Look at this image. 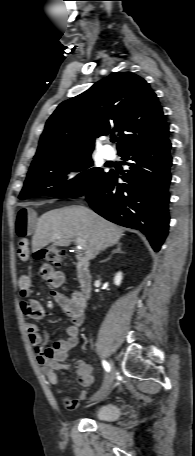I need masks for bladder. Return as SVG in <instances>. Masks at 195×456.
Listing matches in <instances>:
<instances>
[{
  "mask_svg": "<svg viewBox=\"0 0 195 456\" xmlns=\"http://www.w3.org/2000/svg\"><path fill=\"white\" fill-rule=\"evenodd\" d=\"M93 416L102 421H114L120 416V408L114 404H104L94 411Z\"/></svg>",
  "mask_w": 195,
  "mask_h": 456,
  "instance_id": "bladder-1",
  "label": "bladder"
}]
</instances>
